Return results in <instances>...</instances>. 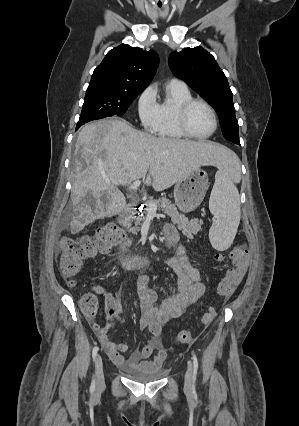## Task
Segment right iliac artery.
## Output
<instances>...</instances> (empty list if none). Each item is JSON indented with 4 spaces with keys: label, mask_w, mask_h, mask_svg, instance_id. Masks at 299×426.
<instances>
[{
    "label": "right iliac artery",
    "mask_w": 299,
    "mask_h": 426,
    "mask_svg": "<svg viewBox=\"0 0 299 426\" xmlns=\"http://www.w3.org/2000/svg\"><path fill=\"white\" fill-rule=\"evenodd\" d=\"M98 350H99V347H98V346H95V347L93 348V351H92L93 361H95V359H96V357H97V352H98ZM94 389H95V379L93 378L92 383H91V390H94Z\"/></svg>",
    "instance_id": "right-iliac-artery-1"
}]
</instances>
